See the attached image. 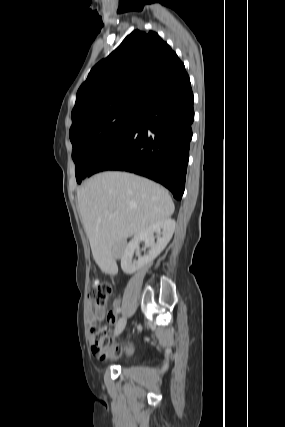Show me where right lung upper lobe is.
Wrapping results in <instances>:
<instances>
[{
  "label": "right lung upper lobe",
  "instance_id": "cb5924a9",
  "mask_svg": "<svg viewBox=\"0 0 285 427\" xmlns=\"http://www.w3.org/2000/svg\"><path fill=\"white\" fill-rule=\"evenodd\" d=\"M185 71L171 47L154 31L135 30L90 71L79 88L69 134L130 105Z\"/></svg>",
  "mask_w": 285,
  "mask_h": 427
}]
</instances>
